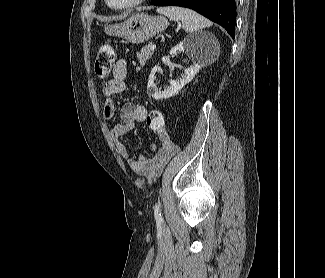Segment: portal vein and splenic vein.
I'll return each instance as SVG.
<instances>
[{
	"label": "portal vein and splenic vein",
	"instance_id": "portal-vein-and-splenic-vein-1",
	"mask_svg": "<svg viewBox=\"0 0 325 278\" xmlns=\"http://www.w3.org/2000/svg\"><path fill=\"white\" fill-rule=\"evenodd\" d=\"M149 48L152 49V50H154V49L156 48V44L151 43V44L149 45Z\"/></svg>",
	"mask_w": 325,
	"mask_h": 278
}]
</instances>
